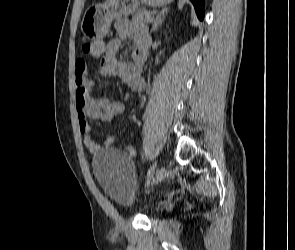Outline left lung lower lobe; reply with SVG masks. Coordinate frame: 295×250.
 <instances>
[{
    "label": "left lung lower lobe",
    "instance_id": "left-lung-lower-lobe-1",
    "mask_svg": "<svg viewBox=\"0 0 295 250\" xmlns=\"http://www.w3.org/2000/svg\"><path fill=\"white\" fill-rule=\"evenodd\" d=\"M195 7V11L197 13V16L200 20H203L204 13H203V6H204V0H191Z\"/></svg>",
    "mask_w": 295,
    "mask_h": 250
}]
</instances>
